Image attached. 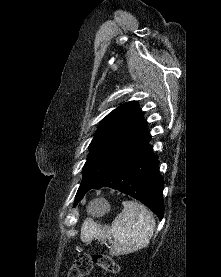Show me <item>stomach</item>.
<instances>
[{"label": "stomach", "mask_w": 221, "mask_h": 277, "mask_svg": "<svg viewBox=\"0 0 221 277\" xmlns=\"http://www.w3.org/2000/svg\"><path fill=\"white\" fill-rule=\"evenodd\" d=\"M93 213L92 214H103L106 210H108V205L105 201H96L94 203L91 204V206L89 207Z\"/></svg>", "instance_id": "obj_1"}]
</instances>
